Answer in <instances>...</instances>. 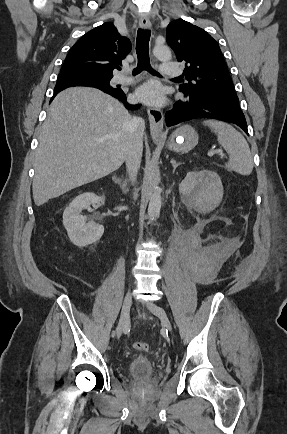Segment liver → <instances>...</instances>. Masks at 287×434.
I'll use <instances>...</instances> for the list:
<instances>
[{
    "mask_svg": "<svg viewBox=\"0 0 287 434\" xmlns=\"http://www.w3.org/2000/svg\"><path fill=\"white\" fill-rule=\"evenodd\" d=\"M132 116L115 98L73 87L51 103L35 156L33 199H50L121 167L130 145Z\"/></svg>",
    "mask_w": 287,
    "mask_h": 434,
    "instance_id": "obj_1",
    "label": "liver"
}]
</instances>
